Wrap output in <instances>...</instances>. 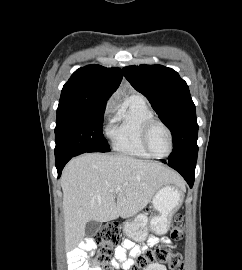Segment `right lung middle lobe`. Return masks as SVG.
Returning <instances> with one entry per match:
<instances>
[{"mask_svg": "<svg viewBox=\"0 0 242 270\" xmlns=\"http://www.w3.org/2000/svg\"><path fill=\"white\" fill-rule=\"evenodd\" d=\"M105 107L58 108L55 127V159L60 161L84 152H109L102 134Z\"/></svg>", "mask_w": 242, "mask_h": 270, "instance_id": "right-lung-middle-lobe-1", "label": "right lung middle lobe"}]
</instances>
